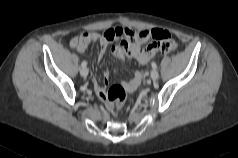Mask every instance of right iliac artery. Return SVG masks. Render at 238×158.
Instances as JSON below:
<instances>
[{
	"label": "right iliac artery",
	"mask_w": 238,
	"mask_h": 158,
	"mask_svg": "<svg viewBox=\"0 0 238 158\" xmlns=\"http://www.w3.org/2000/svg\"><path fill=\"white\" fill-rule=\"evenodd\" d=\"M86 65H87V62L86 61H83L82 63H81V67L83 68V67H86Z\"/></svg>",
	"instance_id": "right-iliac-artery-1"
}]
</instances>
